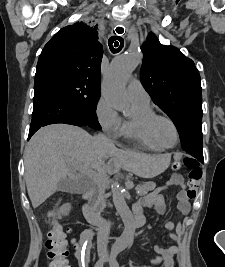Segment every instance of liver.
<instances>
[{
    "instance_id": "obj_1",
    "label": "liver",
    "mask_w": 225,
    "mask_h": 267,
    "mask_svg": "<svg viewBox=\"0 0 225 267\" xmlns=\"http://www.w3.org/2000/svg\"><path fill=\"white\" fill-rule=\"evenodd\" d=\"M68 158L74 162H67ZM108 158H111L110 165L105 164ZM149 159L138 153L121 151L114 144L99 143L82 128L51 124L40 128L26 147L27 192L33 208H37L56 191L59 181L77 178L75 171L81 167L85 171L80 172L95 181L100 174L107 179L112 167L146 176L144 164Z\"/></svg>"
}]
</instances>
